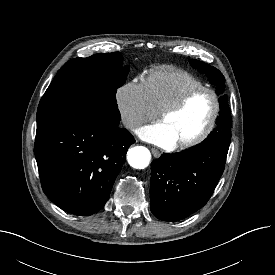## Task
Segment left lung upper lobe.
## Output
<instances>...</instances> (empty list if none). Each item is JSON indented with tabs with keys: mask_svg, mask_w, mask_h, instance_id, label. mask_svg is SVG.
Wrapping results in <instances>:
<instances>
[{
	"mask_svg": "<svg viewBox=\"0 0 275 275\" xmlns=\"http://www.w3.org/2000/svg\"><path fill=\"white\" fill-rule=\"evenodd\" d=\"M190 64L197 68L199 72L205 73L209 79V81L217 86V94L223 93L225 89V78L222 73L217 70L215 67H212L204 62L190 59ZM220 103V112L217 118V127L210 133L209 136L212 135H225L227 137H231V113L228 106V100L225 95H222L219 98Z\"/></svg>",
	"mask_w": 275,
	"mask_h": 275,
	"instance_id": "5c2ea615",
	"label": "left lung upper lobe"
}]
</instances>
